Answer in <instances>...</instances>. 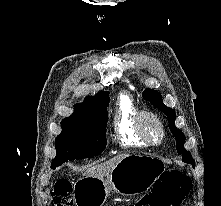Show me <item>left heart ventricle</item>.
Instances as JSON below:
<instances>
[{
	"label": "left heart ventricle",
	"instance_id": "b2bd125f",
	"mask_svg": "<svg viewBox=\"0 0 221 206\" xmlns=\"http://www.w3.org/2000/svg\"><path fill=\"white\" fill-rule=\"evenodd\" d=\"M147 133L151 140L158 141L160 137V131L155 123L147 122L146 123Z\"/></svg>",
	"mask_w": 221,
	"mask_h": 206
}]
</instances>
